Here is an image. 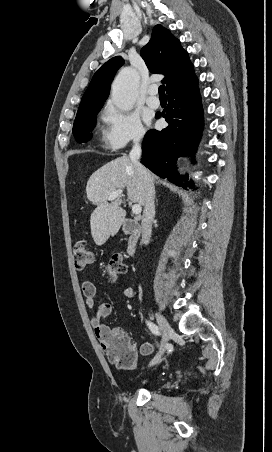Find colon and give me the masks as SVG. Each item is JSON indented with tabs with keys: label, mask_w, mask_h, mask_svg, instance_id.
I'll return each instance as SVG.
<instances>
[{
	"label": "colon",
	"mask_w": 272,
	"mask_h": 452,
	"mask_svg": "<svg viewBox=\"0 0 272 452\" xmlns=\"http://www.w3.org/2000/svg\"><path fill=\"white\" fill-rule=\"evenodd\" d=\"M73 260L76 269H83L94 262V253L86 242H75ZM126 270L127 266L119 254L113 255L105 267V272L111 280L117 275L125 273ZM105 351L109 361L116 367L124 370H133L136 367L135 350L127 336H110L106 341Z\"/></svg>",
	"instance_id": "obj_1"
}]
</instances>
